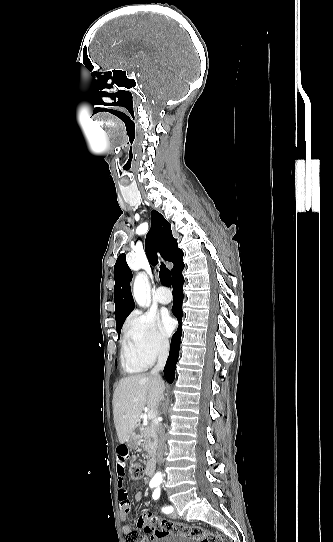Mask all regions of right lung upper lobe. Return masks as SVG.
<instances>
[{
	"label": "right lung upper lobe",
	"mask_w": 333,
	"mask_h": 542,
	"mask_svg": "<svg viewBox=\"0 0 333 542\" xmlns=\"http://www.w3.org/2000/svg\"><path fill=\"white\" fill-rule=\"evenodd\" d=\"M151 229L146 236V254L152 265L157 264L156 251L159 250L166 261L173 262L182 251L177 247L171 232V225L157 211L151 212ZM114 301L116 329L123 325L135 304L130 289L132 272L128 267L125 254L119 255L114 267Z\"/></svg>",
	"instance_id": "cb5924a9"
}]
</instances>
